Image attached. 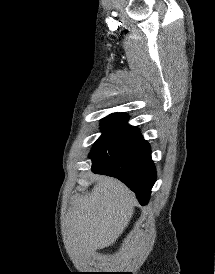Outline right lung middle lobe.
Wrapping results in <instances>:
<instances>
[{
	"instance_id": "1",
	"label": "right lung middle lobe",
	"mask_w": 215,
	"mask_h": 274,
	"mask_svg": "<svg viewBox=\"0 0 215 274\" xmlns=\"http://www.w3.org/2000/svg\"><path fill=\"white\" fill-rule=\"evenodd\" d=\"M124 113H113L102 119V135L95 142L90 157L108 166L126 154L142 137L135 126L127 123Z\"/></svg>"
}]
</instances>
